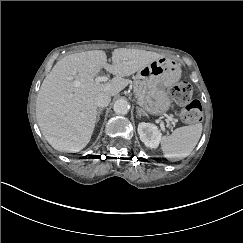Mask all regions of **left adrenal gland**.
<instances>
[{
	"label": "left adrenal gland",
	"instance_id": "1",
	"mask_svg": "<svg viewBox=\"0 0 243 243\" xmlns=\"http://www.w3.org/2000/svg\"><path fill=\"white\" fill-rule=\"evenodd\" d=\"M136 110H137V114H138L139 118H141L143 116L141 109L137 108Z\"/></svg>",
	"mask_w": 243,
	"mask_h": 243
}]
</instances>
